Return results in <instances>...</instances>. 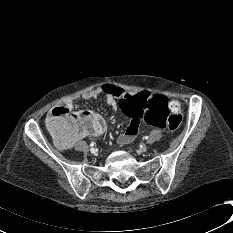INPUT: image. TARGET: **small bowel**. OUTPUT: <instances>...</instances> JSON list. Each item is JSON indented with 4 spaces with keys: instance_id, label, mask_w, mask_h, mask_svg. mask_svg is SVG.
I'll return each mask as SVG.
<instances>
[{
    "instance_id": "small-bowel-1",
    "label": "small bowel",
    "mask_w": 233,
    "mask_h": 233,
    "mask_svg": "<svg viewBox=\"0 0 233 233\" xmlns=\"http://www.w3.org/2000/svg\"><path fill=\"white\" fill-rule=\"evenodd\" d=\"M124 93H128L124 89L112 85V84H106L103 85L97 89L85 92L82 97L84 99H94L97 98L101 95L105 96L107 104L113 108H117V100H119L120 96ZM153 96V95H152ZM169 100V99H168ZM174 101V100H169V102ZM65 106L69 107L70 109H75L77 105L73 102L72 99H67L64 103ZM130 122L125 130L124 133H122L118 137V143L121 145H127L131 143L136 136L138 135L139 128H140V118L138 119H133L129 118ZM82 136H77V137H71V136H61V137H56V143L59 148L66 150L69 149L73 146V144L78 141Z\"/></svg>"
}]
</instances>
